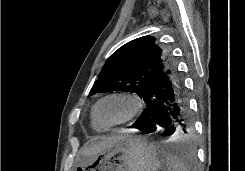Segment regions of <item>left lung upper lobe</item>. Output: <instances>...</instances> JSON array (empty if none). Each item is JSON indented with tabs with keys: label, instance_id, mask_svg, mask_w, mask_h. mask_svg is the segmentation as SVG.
<instances>
[{
	"label": "left lung upper lobe",
	"instance_id": "obj_1",
	"mask_svg": "<svg viewBox=\"0 0 245 171\" xmlns=\"http://www.w3.org/2000/svg\"><path fill=\"white\" fill-rule=\"evenodd\" d=\"M155 41L153 36H143L121 46L106 61L89 95L127 91L142 98L148 85L169 62Z\"/></svg>",
	"mask_w": 245,
	"mask_h": 171
}]
</instances>
